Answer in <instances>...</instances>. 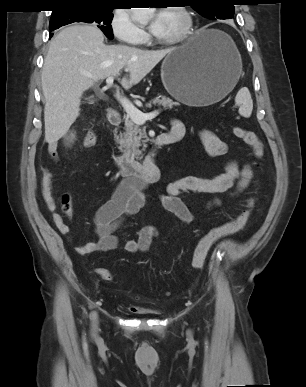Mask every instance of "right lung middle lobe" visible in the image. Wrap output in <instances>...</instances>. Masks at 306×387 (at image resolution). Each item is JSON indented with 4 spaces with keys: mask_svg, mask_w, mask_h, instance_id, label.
<instances>
[{
    "mask_svg": "<svg viewBox=\"0 0 306 387\" xmlns=\"http://www.w3.org/2000/svg\"><path fill=\"white\" fill-rule=\"evenodd\" d=\"M112 7L104 6H76L65 8L60 12L52 13L49 30L54 31L63 25L74 22L93 23L106 35L113 39L111 21L113 19Z\"/></svg>",
    "mask_w": 306,
    "mask_h": 387,
    "instance_id": "obj_1",
    "label": "right lung middle lobe"
}]
</instances>
